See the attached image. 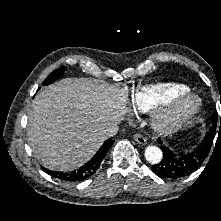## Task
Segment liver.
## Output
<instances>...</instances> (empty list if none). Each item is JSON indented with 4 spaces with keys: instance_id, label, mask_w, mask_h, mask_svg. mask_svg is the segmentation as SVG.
<instances>
[{
    "instance_id": "obj_1",
    "label": "liver",
    "mask_w": 221,
    "mask_h": 221,
    "mask_svg": "<svg viewBox=\"0 0 221 221\" xmlns=\"http://www.w3.org/2000/svg\"><path fill=\"white\" fill-rule=\"evenodd\" d=\"M127 95L106 82L66 79L34 98L27 136L35 157L48 169L71 171L100 148L103 132L127 113Z\"/></svg>"
}]
</instances>
